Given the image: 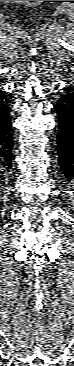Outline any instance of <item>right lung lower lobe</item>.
I'll use <instances>...</instances> for the list:
<instances>
[{
	"mask_svg": "<svg viewBox=\"0 0 74 366\" xmlns=\"http://www.w3.org/2000/svg\"><path fill=\"white\" fill-rule=\"evenodd\" d=\"M10 97L0 89V163H6L8 168L12 163L13 137L12 126L9 117L10 112Z\"/></svg>",
	"mask_w": 74,
	"mask_h": 366,
	"instance_id": "1",
	"label": "right lung lower lobe"
}]
</instances>
